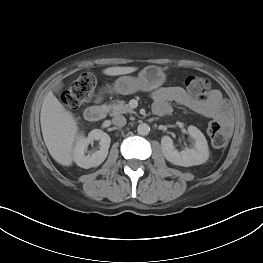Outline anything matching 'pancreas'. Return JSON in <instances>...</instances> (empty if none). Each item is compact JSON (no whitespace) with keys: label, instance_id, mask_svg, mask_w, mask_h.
Here are the masks:
<instances>
[{"label":"pancreas","instance_id":"pancreas-1","mask_svg":"<svg viewBox=\"0 0 263 263\" xmlns=\"http://www.w3.org/2000/svg\"><path fill=\"white\" fill-rule=\"evenodd\" d=\"M107 111L111 116L125 113H135L133 109L123 100H116L112 104L106 106Z\"/></svg>","mask_w":263,"mask_h":263}]
</instances>
